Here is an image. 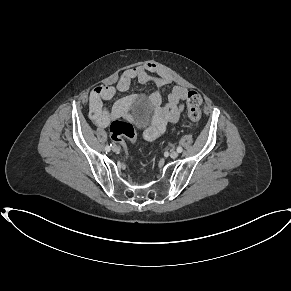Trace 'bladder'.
I'll return each mask as SVG.
<instances>
[{
  "instance_id": "bladder-1",
  "label": "bladder",
  "mask_w": 291,
  "mask_h": 291,
  "mask_svg": "<svg viewBox=\"0 0 291 291\" xmlns=\"http://www.w3.org/2000/svg\"><path fill=\"white\" fill-rule=\"evenodd\" d=\"M134 123L137 124L138 126H142L141 121L138 118H135Z\"/></svg>"
}]
</instances>
